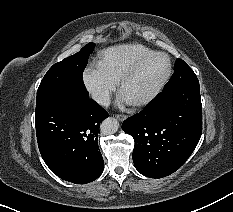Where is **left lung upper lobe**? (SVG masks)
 Returning a JSON list of instances; mask_svg holds the SVG:
<instances>
[{"label":"left lung upper lobe","mask_w":233,"mask_h":212,"mask_svg":"<svg viewBox=\"0 0 233 212\" xmlns=\"http://www.w3.org/2000/svg\"><path fill=\"white\" fill-rule=\"evenodd\" d=\"M174 71V74L164 88L171 86L182 78L196 76L193 70L187 65V63L181 59L176 60Z\"/></svg>","instance_id":"1"}]
</instances>
